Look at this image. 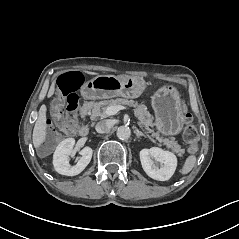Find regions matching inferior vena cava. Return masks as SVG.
I'll return each instance as SVG.
<instances>
[{"label": "inferior vena cava", "instance_id": "1", "mask_svg": "<svg viewBox=\"0 0 239 239\" xmlns=\"http://www.w3.org/2000/svg\"><path fill=\"white\" fill-rule=\"evenodd\" d=\"M110 128H111V124L108 120H102L98 122L95 127L97 133H100V134L109 132Z\"/></svg>", "mask_w": 239, "mask_h": 239}]
</instances>
